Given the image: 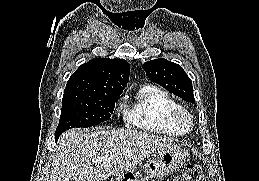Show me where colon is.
Listing matches in <instances>:
<instances>
[{
    "label": "colon",
    "mask_w": 259,
    "mask_h": 181,
    "mask_svg": "<svg viewBox=\"0 0 259 181\" xmlns=\"http://www.w3.org/2000/svg\"><path fill=\"white\" fill-rule=\"evenodd\" d=\"M172 181H203V171L199 164L189 165L185 171Z\"/></svg>",
    "instance_id": "1"
}]
</instances>
